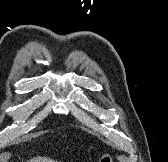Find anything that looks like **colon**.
I'll use <instances>...</instances> for the list:
<instances>
[{"label": "colon", "instance_id": "1", "mask_svg": "<svg viewBox=\"0 0 168 162\" xmlns=\"http://www.w3.org/2000/svg\"><path fill=\"white\" fill-rule=\"evenodd\" d=\"M98 162H113V159L110 154H103Z\"/></svg>", "mask_w": 168, "mask_h": 162}]
</instances>
